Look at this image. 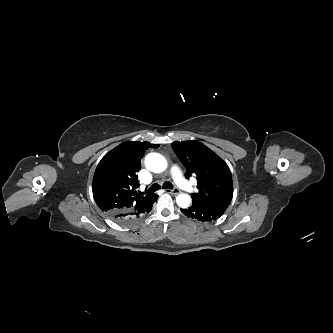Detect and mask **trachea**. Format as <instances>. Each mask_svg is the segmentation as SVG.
Returning a JSON list of instances; mask_svg holds the SVG:
<instances>
[{
	"label": "trachea",
	"instance_id": "1",
	"mask_svg": "<svg viewBox=\"0 0 333 333\" xmlns=\"http://www.w3.org/2000/svg\"><path fill=\"white\" fill-rule=\"evenodd\" d=\"M161 188V186L159 184H153L145 193H153L156 192L157 190H159ZM162 188L164 189H173V185L171 182H164Z\"/></svg>",
	"mask_w": 333,
	"mask_h": 333
}]
</instances>
